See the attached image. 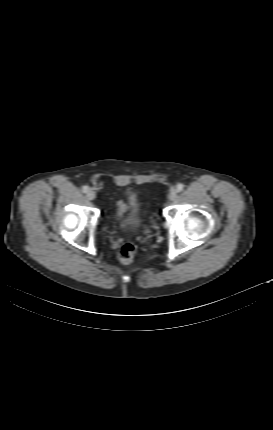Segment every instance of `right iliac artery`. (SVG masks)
Returning <instances> with one entry per match:
<instances>
[{"label": "right iliac artery", "instance_id": "right-iliac-artery-1", "mask_svg": "<svg viewBox=\"0 0 273 430\" xmlns=\"http://www.w3.org/2000/svg\"><path fill=\"white\" fill-rule=\"evenodd\" d=\"M82 191H83L84 193H87V192L89 191V187H88V186H83V187H82Z\"/></svg>", "mask_w": 273, "mask_h": 430}]
</instances>
